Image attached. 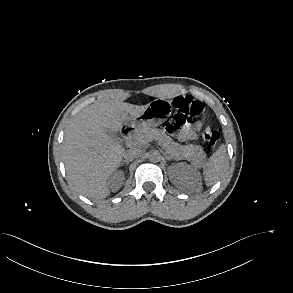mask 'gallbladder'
<instances>
[{"label": "gallbladder", "mask_w": 293, "mask_h": 293, "mask_svg": "<svg viewBox=\"0 0 293 293\" xmlns=\"http://www.w3.org/2000/svg\"><path fill=\"white\" fill-rule=\"evenodd\" d=\"M106 132L107 134L112 137L113 139L115 140H120V136L118 135V133L114 132V131H111V130H108L106 129Z\"/></svg>", "instance_id": "1"}]
</instances>
